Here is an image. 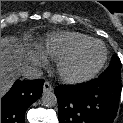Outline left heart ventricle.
Listing matches in <instances>:
<instances>
[{
  "label": "left heart ventricle",
  "instance_id": "obj_1",
  "mask_svg": "<svg viewBox=\"0 0 123 123\" xmlns=\"http://www.w3.org/2000/svg\"><path fill=\"white\" fill-rule=\"evenodd\" d=\"M103 49L99 44L85 47L67 66L73 74H84L90 71L102 58Z\"/></svg>",
  "mask_w": 123,
  "mask_h": 123
}]
</instances>
